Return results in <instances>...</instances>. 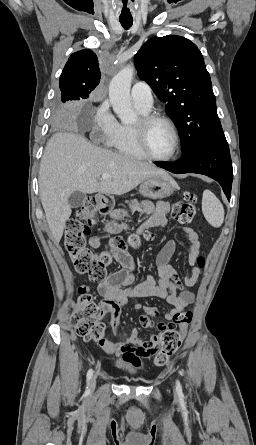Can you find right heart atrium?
I'll use <instances>...</instances> for the list:
<instances>
[{
	"mask_svg": "<svg viewBox=\"0 0 256 445\" xmlns=\"http://www.w3.org/2000/svg\"><path fill=\"white\" fill-rule=\"evenodd\" d=\"M119 129V122L111 113L107 102L101 103L95 110L92 120L91 134L103 144H111Z\"/></svg>",
	"mask_w": 256,
	"mask_h": 445,
	"instance_id": "obj_1",
	"label": "right heart atrium"
}]
</instances>
